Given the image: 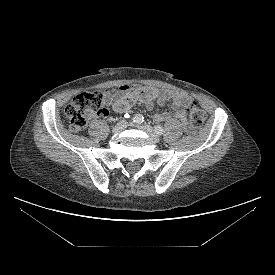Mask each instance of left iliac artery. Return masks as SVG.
I'll list each match as a JSON object with an SVG mask.
<instances>
[{"instance_id": "44dca946", "label": "left iliac artery", "mask_w": 275, "mask_h": 275, "mask_svg": "<svg viewBox=\"0 0 275 275\" xmlns=\"http://www.w3.org/2000/svg\"><path fill=\"white\" fill-rule=\"evenodd\" d=\"M155 132H156L158 135H162L163 132H164V129H163L162 126L157 125V126H155Z\"/></svg>"}]
</instances>
